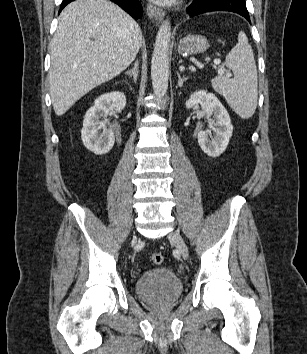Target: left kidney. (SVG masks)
<instances>
[{
    "instance_id": "obj_1",
    "label": "left kidney",
    "mask_w": 307,
    "mask_h": 354,
    "mask_svg": "<svg viewBox=\"0 0 307 354\" xmlns=\"http://www.w3.org/2000/svg\"><path fill=\"white\" fill-rule=\"evenodd\" d=\"M198 105L205 112L209 124V129L198 132V143L208 156L218 157L227 148L233 133L229 114L218 98L205 90L196 91L186 101L187 109Z\"/></svg>"
}]
</instances>
